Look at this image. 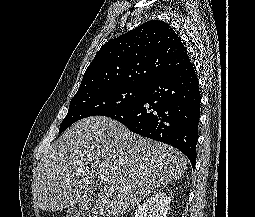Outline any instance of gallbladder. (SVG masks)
<instances>
[{"label": "gallbladder", "instance_id": "obj_1", "mask_svg": "<svg viewBox=\"0 0 255 217\" xmlns=\"http://www.w3.org/2000/svg\"><path fill=\"white\" fill-rule=\"evenodd\" d=\"M96 212L95 198L87 197L84 201L70 206L67 217H92Z\"/></svg>", "mask_w": 255, "mask_h": 217}]
</instances>
